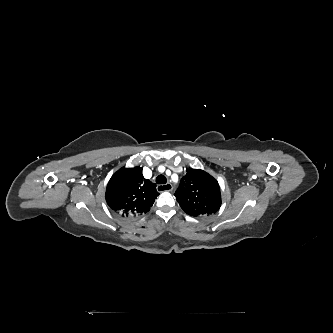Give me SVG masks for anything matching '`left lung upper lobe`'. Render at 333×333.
<instances>
[{
	"instance_id": "left-lung-upper-lobe-1",
	"label": "left lung upper lobe",
	"mask_w": 333,
	"mask_h": 333,
	"mask_svg": "<svg viewBox=\"0 0 333 333\" xmlns=\"http://www.w3.org/2000/svg\"><path fill=\"white\" fill-rule=\"evenodd\" d=\"M175 196L181 208L191 216L216 213L221 206L219 184L203 170H187Z\"/></svg>"
}]
</instances>
